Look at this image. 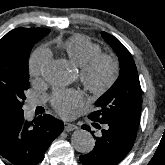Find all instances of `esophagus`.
Listing matches in <instances>:
<instances>
[{
  "label": "esophagus",
  "mask_w": 165,
  "mask_h": 165,
  "mask_svg": "<svg viewBox=\"0 0 165 165\" xmlns=\"http://www.w3.org/2000/svg\"><path fill=\"white\" fill-rule=\"evenodd\" d=\"M77 128V126L75 124H72V123H68V122H65L64 123V130L69 132V131H73Z\"/></svg>",
  "instance_id": "esophagus-1"
}]
</instances>
